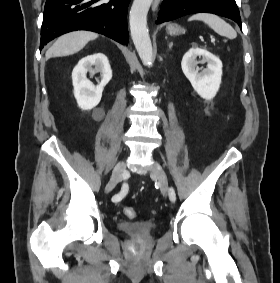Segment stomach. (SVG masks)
<instances>
[{"mask_svg":"<svg viewBox=\"0 0 280 283\" xmlns=\"http://www.w3.org/2000/svg\"><path fill=\"white\" fill-rule=\"evenodd\" d=\"M166 31L171 36H177L185 32V30L176 23L167 25Z\"/></svg>","mask_w":280,"mask_h":283,"instance_id":"1","label":"stomach"}]
</instances>
